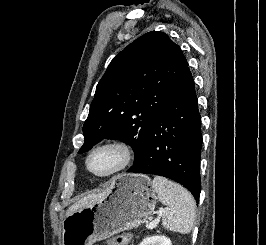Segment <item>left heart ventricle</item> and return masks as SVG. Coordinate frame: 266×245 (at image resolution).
<instances>
[{"label":"left heart ventricle","mask_w":266,"mask_h":245,"mask_svg":"<svg viewBox=\"0 0 266 245\" xmlns=\"http://www.w3.org/2000/svg\"><path fill=\"white\" fill-rule=\"evenodd\" d=\"M122 162V152L114 146L97 150L89 160V168L96 174H108L119 167Z\"/></svg>","instance_id":"left-heart-ventricle-1"}]
</instances>
